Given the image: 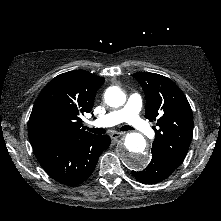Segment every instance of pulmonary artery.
Listing matches in <instances>:
<instances>
[{"label":"pulmonary artery","instance_id":"e3ab8cb5","mask_svg":"<svg viewBox=\"0 0 221 221\" xmlns=\"http://www.w3.org/2000/svg\"><path fill=\"white\" fill-rule=\"evenodd\" d=\"M141 106L142 99L140 95L132 94L123 108L109 112L97 118L91 124L97 127H110L126 122L144 135L151 137L154 135V131L149 124L140 117Z\"/></svg>","mask_w":221,"mask_h":221}]
</instances>
